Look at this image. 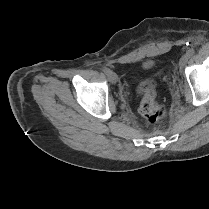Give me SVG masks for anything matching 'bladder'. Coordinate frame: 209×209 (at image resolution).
I'll return each instance as SVG.
<instances>
[{
    "label": "bladder",
    "instance_id": "1",
    "mask_svg": "<svg viewBox=\"0 0 209 209\" xmlns=\"http://www.w3.org/2000/svg\"><path fill=\"white\" fill-rule=\"evenodd\" d=\"M151 64H152V62H147V63H146V65H151Z\"/></svg>",
    "mask_w": 209,
    "mask_h": 209
}]
</instances>
